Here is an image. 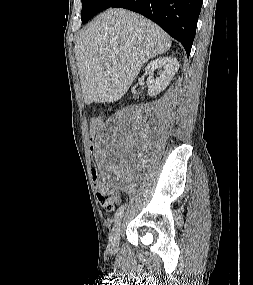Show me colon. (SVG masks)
<instances>
[{"label": "colon", "mask_w": 253, "mask_h": 285, "mask_svg": "<svg viewBox=\"0 0 253 285\" xmlns=\"http://www.w3.org/2000/svg\"><path fill=\"white\" fill-rule=\"evenodd\" d=\"M100 125L99 118H92L90 122V136H91V143L89 146L90 151V161H89V168L91 172V176H93V180H95L96 192L98 200L101 206L106 211H112L115 206L119 202V193L105 184L104 182L100 181L103 179V176L100 175L99 167H98V130L97 128Z\"/></svg>", "instance_id": "1"}]
</instances>
